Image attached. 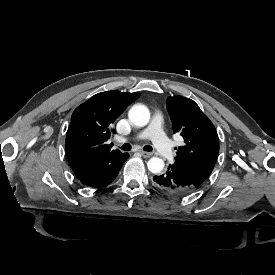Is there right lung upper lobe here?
I'll return each mask as SVG.
<instances>
[{"instance_id": "obj_1", "label": "right lung upper lobe", "mask_w": 275, "mask_h": 275, "mask_svg": "<svg viewBox=\"0 0 275 275\" xmlns=\"http://www.w3.org/2000/svg\"><path fill=\"white\" fill-rule=\"evenodd\" d=\"M139 93H122L111 90L92 96L78 106L72 114L66 135L68 162L119 152L106 145L113 131L114 121Z\"/></svg>"}]
</instances>
